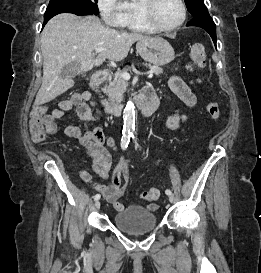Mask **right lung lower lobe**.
<instances>
[{
  "mask_svg": "<svg viewBox=\"0 0 261 273\" xmlns=\"http://www.w3.org/2000/svg\"><path fill=\"white\" fill-rule=\"evenodd\" d=\"M74 14L80 15V16L89 15L88 12L86 11L85 7L78 2H76L74 5ZM49 19H51V18L44 17L43 26L48 22Z\"/></svg>",
  "mask_w": 261,
  "mask_h": 273,
  "instance_id": "98d812e1",
  "label": "right lung lower lobe"
}]
</instances>
